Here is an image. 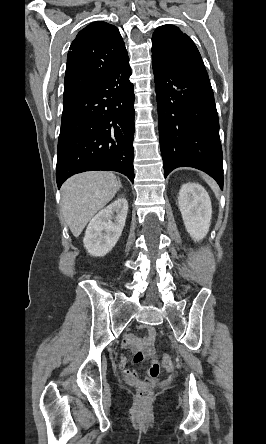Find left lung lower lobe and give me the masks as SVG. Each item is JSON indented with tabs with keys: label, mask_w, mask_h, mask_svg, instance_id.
<instances>
[{
	"label": "left lung lower lobe",
	"mask_w": 266,
	"mask_h": 444,
	"mask_svg": "<svg viewBox=\"0 0 266 444\" xmlns=\"http://www.w3.org/2000/svg\"><path fill=\"white\" fill-rule=\"evenodd\" d=\"M152 66L165 177L177 167H193L223 189L219 120L209 77L181 74L153 59Z\"/></svg>",
	"instance_id": "obj_1"
}]
</instances>
